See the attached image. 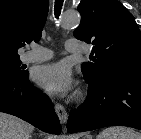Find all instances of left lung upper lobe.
<instances>
[{
    "label": "left lung upper lobe",
    "instance_id": "left-lung-upper-lobe-1",
    "mask_svg": "<svg viewBox=\"0 0 141 139\" xmlns=\"http://www.w3.org/2000/svg\"><path fill=\"white\" fill-rule=\"evenodd\" d=\"M74 36L94 45L92 62L81 65L96 82L110 73L141 75V37L133 15L117 0H81Z\"/></svg>",
    "mask_w": 141,
    "mask_h": 139
}]
</instances>
